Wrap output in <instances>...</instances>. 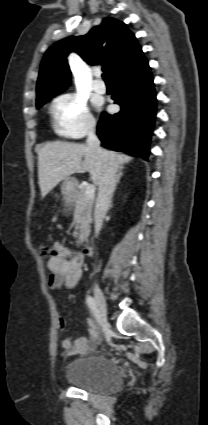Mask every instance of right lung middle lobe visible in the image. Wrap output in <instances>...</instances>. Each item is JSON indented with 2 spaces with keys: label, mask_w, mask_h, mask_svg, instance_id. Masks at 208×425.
Returning <instances> with one entry per match:
<instances>
[{
  "label": "right lung middle lobe",
  "mask_w": 208,
  "mask_h": 425,
  "mask_svg": "<svg viewBox=\"0 0 208 425\" xmlns=\"http://www.w3.org/2000/svg\"><path fill=\"white\" fill-rule=\"evenodd\" d=\"M58 93L55 94H50L45 96L44 98H42V100L40 102L37 103V108H40L41 106H43L46 102H48L49 100H51L54 96H56Z\"/></svg>",
  "instance_id": "dd1d6c3e"
}]
</instances>
